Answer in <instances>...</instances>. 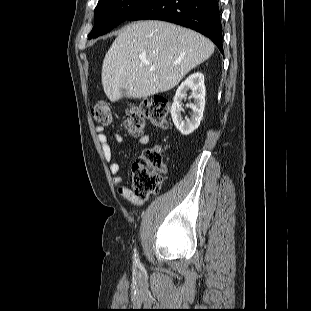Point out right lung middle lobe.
<instances>
[{"label": "right lung middle lobe", "instance_id": "right-lung-middle-lobe-1", "mask_svg": "<svg viewBox=\"0 0 311 311\" xmlns=\"http://www.w3.org/2000/svg\"><path fill=\"white\" fill-rule=\"evenodd\" d=\"M154 0H99L95 8V23L88 38H96L127 20Z\"/></svg>", "mask_w": 311, "mask_h": 311}]
</instances>
